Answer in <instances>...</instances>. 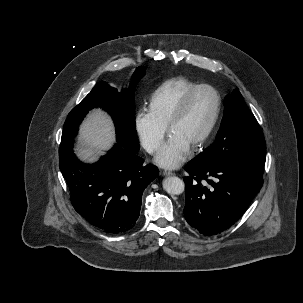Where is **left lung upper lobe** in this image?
Returning a JSON list of instances; mask_svg holds the SVG:
<instances>
[{"label": "left lung upper lobe", "instance_id": "1", "mask_svg": "<svg viewBox=\"0 0 303 303\" xmlns=\"http://www.w3.org/2000/svg\"><path fill=\"white\" fill-rule=\"evenodd\" d=\"M199 159L228 163L263 176L265 139L238 90L225 98V111L215 142Z\"/></svg>", "mask_w": 303, "mask_h": 303}]
</instances>
